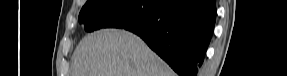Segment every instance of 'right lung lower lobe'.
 <instances>
[{
  "mask_svg": "<svg viewBox=\"0 0 287 76\" xmlns=\"http://www.w3.org/2000/svg\"><path fill=\"white\" fill-rule=\"evenodd\" d=\"M215 19V0H159L148 19L124 29L140 36L179 76H197Z\"/></svg>",
  "mask_w": 287,
  "mask_h": 76,
  "instance_id": "1",
  "label": "right lung lower lobe"
}]
</instances>
